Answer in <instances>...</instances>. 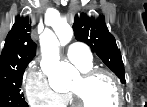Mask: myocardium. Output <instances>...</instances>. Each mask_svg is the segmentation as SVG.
Wrapping results in <instances>:
<instances>
[{
  "mask_svg": "<svg viewBox=\"0 0 147 107\" xmlns=\"http://www.w3.org/2000/svg\"><path fill=\"white\" fill-rule=\"evenodd\" d=\"M99 75H104L108 77L111 80V82L114 84L117 91L116 107L121 106L123 104V89H122L120 81L118 80L116 75H114L112 72L102 68H88L87 70L82 71L81 78L84 82H89ZM70 94L73 98V102L76 107H89L83 101L79 93H77L74 90H71Z\"/></svg>",
  "mask_w": 147,
  "mask_h": 107,
  "instance_id": "obj_1",
  "label": "myocardium"
}]
</instances>
